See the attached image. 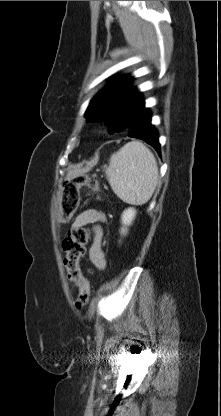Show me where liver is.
<instances>
[{"mask_svg": "<svg viewBox=\"0 0 221 416\" xmlns=\"http://www.w3.org/2000/svg\"><path fill=\"white\" fill-rule=\"evenodd\" d=\"M87 170H88V168H83V169L74 168V169L68 171L66 178H68V179L73 178V177H75L79 174H83V173L87 172Z\"/></svg>", "mask_w": 221, "mask_h": 416, "instance_id": "6515ba94", "label": "liver"}]
</instances>
